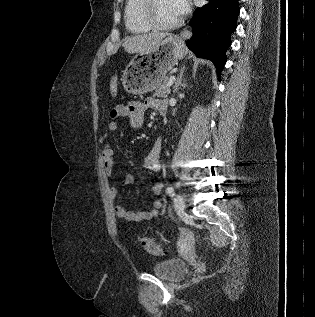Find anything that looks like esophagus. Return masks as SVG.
Returning <instances> with one entry per match:
<instances>
[{
    "mask_svg": "<svg viewBox=\"0 0 315 317\" xmlns=\"http://www.w3.org/2000/svg\"><path fill=\"white\" fill-rule=\"evenodd\" d=\"M181 37H183L184 39H187V38L191 37V32L188 30H185L181 33Z\"/></svg>",
    "mask_w": 315,
    "mask_h": 317,
    "instance_id": "esophagus-1",
    "label": "esophagus"
}]
</instances>
